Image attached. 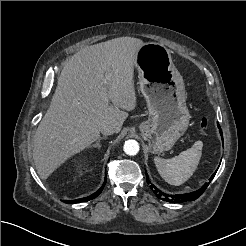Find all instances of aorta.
<instances>
[{"instance_id":"762f6f07","label":"aorta","mask_w":246,"mask_h":246,"mask_svg":"<svg viewBox=\"0 0 246 246\" xmlns=\"http://www.w3.org/2000/svg\"><path fill=\"white\" fill-rule=\"evenodd\" d=\"M123 148L127 155L134 156L139 152V143L136 140L129 139L125 141Z\"/></svg>"}]
</instances>
